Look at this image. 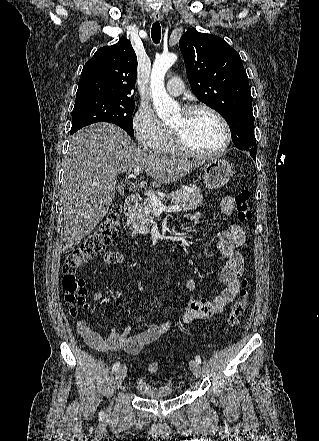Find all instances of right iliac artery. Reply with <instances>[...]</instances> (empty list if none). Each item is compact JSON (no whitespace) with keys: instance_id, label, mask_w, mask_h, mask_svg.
I'll use <instances>...</instances> for the list:
<instances>
[{"instance_id":"82829eb1","label":"right iliac artery","mask_w":319,"mask_h":441,"mask_svg":"<svg viewBox=\"0 0 319 441\" xmlns=\"http://www.w3.org/2000/svg\"><path fill=\"white\" fill-rule=\"evenodd\" d=\"M119 366H120V362H116V363L113 365L112 372H116V371L118 370Z\"/></svg>"}]
</instances>
